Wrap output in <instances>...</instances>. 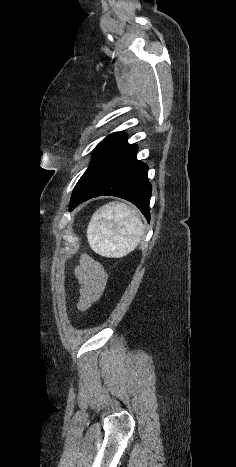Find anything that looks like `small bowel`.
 I'll use <instances>...</instances> for the list:
<instances>
[{"label": "small bowel", "mask_w": 236, "mask_h": 467, "mask_svg": "<svg viewBox=\"0 0 236 467\" xmlns=\"http://www.w3.org/2000/svg\"><path fill=\"white\" fill-rule=\"evenodd\" d=\"M74 274L79 283V294L75 298L77 308L84 312L100 299L107 275L99 262L86 255L81 257L80 264L74 269Z\"/></svg>", "instance_id": "obj_1"}]
</instances>
